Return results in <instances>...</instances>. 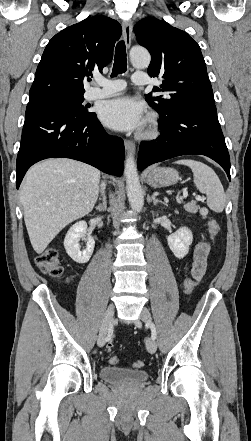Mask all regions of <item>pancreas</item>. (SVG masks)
I'll list each match as a JSON object with an SVG mask.
<instances>
[{
    "mask_svg": "<svg viewBox=\"0 0 251 441\" xmlns=\"http://www.w3.org/2000/svg\"><path fill=\"white\" fill-rule=\"evenodd\" d=\"M184 209H185L187 212H190V213L195 214V213L198 212V210L200 209V207L196 204L195 201H192V202H190V203L185 204V205H184Z\"/></svg>",
    "mask_w": 251,
    "mask_h": 441,
    "instance_id": "pancreas-1",
    "label": "pancreas"
}]
</instances>
